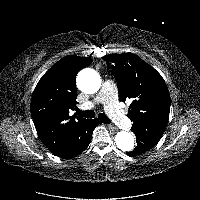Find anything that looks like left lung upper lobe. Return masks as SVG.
<instances>
[{
  "label": "left lung upper lobe",
  "mask_w": 200,
  "mask_h": 200,
  "mask_svg": "<svg viewBox=\"0 0 200 200\" xmlns=\"http://www.w3.org/2000/svg\"><path fill=\"white\" fill-rule=\"evenodd\" d=\"M104 60L115 64L113 74L121 101H131L128 117L131 131L158 142L166 128L170 95L162 76L133 53L109 54Z\"/></svg>",
  "instance_id": "1"
}]
</instances>
